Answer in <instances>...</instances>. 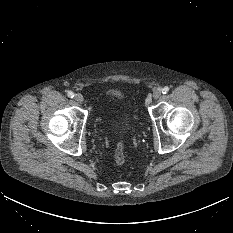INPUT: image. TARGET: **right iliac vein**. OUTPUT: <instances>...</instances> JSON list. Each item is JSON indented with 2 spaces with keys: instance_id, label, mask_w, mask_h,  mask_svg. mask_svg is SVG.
Here are the masks:
<instances>
[{
  "instance_id": "right-iliac-vein-1",
  "label": "right iliac vein",
  "mask_w": 233,
  "mask_h": 233,
  "mask_svg": "<svg viewBox=\"0 0 233 233\" xmlns=\"http://www.w3.org/2000/svg\"><path fill=\"white\" fill-rule=\"evenodd\" d=\"M75 100L78 102V103H80V104H82L83 103V101H84V98H83V96L80 94V93H77V94H75Z\"/></svg>"
}]
</instances>
